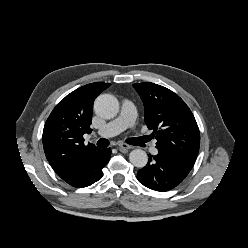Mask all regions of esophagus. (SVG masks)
I'll return each instance as SVG.
<instances>
[{
    "mask_svg": "<svg viewBox=\"0 0 248 248\" xmlns=\"http://www.w3.org/2000/svg\"><path fill=\"white\" fill-rule=\"evenodd\" d=\"M118 147H119V150L121 152H125V151L131 149V146H129L128 144H125V143H119Z\"/></svg>",
    "mask_w": 248,
    "mask_h": 248,
    "instance_id": "obj_1",
    "label": "esophagus"
}]
</instances>
